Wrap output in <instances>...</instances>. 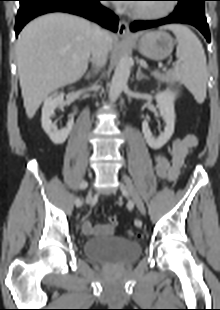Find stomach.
Listing matches in <instances>:
<instances>
[{
	"mask_svg": "<svg viewBox=\"0 0 220 310\" xmlns=\"http://www.w3.org/2000/svg\"><path fill=\"white\" fill-rule=\"evenodd\" d=\"M174 47V40L165 31H152L143 34L137 43L139 52L151 60H162L168 57Z\"/></svg>",
	"mask_w": 220,
	"mask_h": 310,
	"instance_id": "obj_1",
	"label": "stomach"
}]
</instances>
